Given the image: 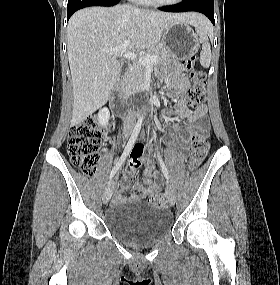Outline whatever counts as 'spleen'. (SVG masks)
Segmentation results:
<instances>
[{
    "label": "spleen",
    "instance_id": "spleen-1",
    "mask_svg": "<svg viewBox=\"0 0 280 285\" xmlns=\"http://www.w3.org/2000/svg\"><path fill=\"white\" fill-rule=\"evenodd\" d=\"M196 32L202 41V51L200 53V64L204 68H209L211 61V48L208 39V33L212 30L208 21L200 22L195 26Z\"/></svg>",
    "mask_w": 280,
    "mask_h": 285
}]
</instances>
